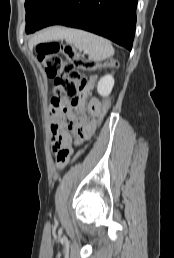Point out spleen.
Instances as JSON below:
<instances>
[{
  "label": "spleen",
  "instance_id": "obj_1",
  "mask_svg": "<svg viewBox=\"0 0 174 258\" xmlns=\"http://www.w3.org/2000/svg\"><path fill=\"white\" fill-rule=\"evenodd\" d=\"M59 29L58 33L54 32L57 38H64L67 43L73 44L80 51H84L94 61L104 60L114 54L110 41L103 37L79 29Z\"/></svg>",
  "mask_w": 174,
  "mask_h": 258
}]
</instances>
